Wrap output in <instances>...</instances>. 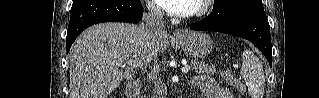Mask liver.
<instances>
[{
	"label": "liver",
	"mask_w": 319,
	"mask_h": 98,
	"mask_svg": "<svg viewBox=\"0 0 319 98\" xmlns=\"http://www.w3.org/2000/svg\"><path fill=\"white\" fill-rule=\"evenodd\" d=\"M168 48V36L154 40L142 25L102 23L86 29L70 52V98H107L128 79L133 60L146 66Z\"/></svg>",
	"instance_id": "obj_1"
}]
</instances>
